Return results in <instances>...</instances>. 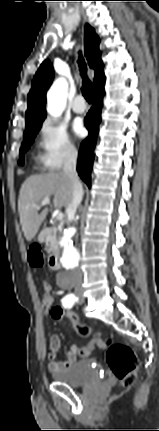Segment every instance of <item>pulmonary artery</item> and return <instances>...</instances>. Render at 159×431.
<instances>
[{
    "label": "pulmonary artery",
    "instance_id": "obj_1",
    "mask_svg": "<svg viewBox=\"0 0 159 431\" xmlns=\"http://www.w3.org/2000/svg\"><path fill=\"white\" fill-rule=\"evenodd\" d=\"M71 108L75 113H83L86 110V104L82 95H77L72 101Z\"/></svg>",
    "mask_w": 159,
    "mask_h": 431
}]
</instances>
